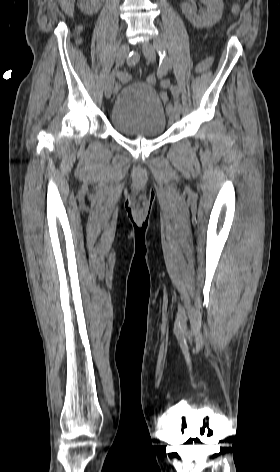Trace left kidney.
<instances>
[{
  "label": "left kidney",
  "mask_w": 280,
  "mask_h": 472,
  "mask_svg": "<svg viewBox=\"0 0 280 472\" xmlns=\"http://www.w3.org/2000/svg\"><path fill=\"white\" fill-rule=\"evenodd\" d=\"M207 7L206 12L197 14L196 8L189 3L182 4V11L187 19L197 28L210 27L222 16L223 0H201Z\"/></svg>",
  "instance_id": "5707ae66"
}]
</instances>
